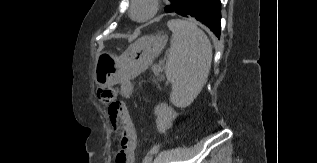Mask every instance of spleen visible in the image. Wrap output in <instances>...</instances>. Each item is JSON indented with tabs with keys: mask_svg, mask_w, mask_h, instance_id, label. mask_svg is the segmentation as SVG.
Listing matches in <instances>:
<instances>
[{
	"mask_svg": "<svg viewBox=\"0 0 317 163\" xmlns=\"http://www.w3.org/2000/svg\"><path fill=\"white\" fill-rule=\"evenodd\" d=\"M171 47L165 66L172 84L171 102L180 108L189 106L202 90L212 62V46L206 34L191 21L172 19Z\"/></svg>",
	"mask_w": 317,
	"mask_h": 163,
	"instance_id": "spleen-1",
	"label": "spleen"
}]
</instances>
